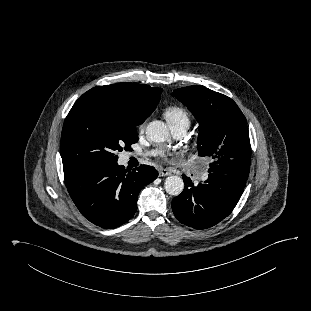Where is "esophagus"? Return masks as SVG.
I'll use <instances>...</instances> for the list:
<instances>
[{"instance_id":"obj_1","label":"esophagus","mask_w":311,"mask_h":311,"mask_svg":"<svg viewBox=\"0 0 311 311\" xmlns=\"http://www.w3.org/2000/svg\"><path fill=\"white\" fill-rule=\"evenodd\" d=\"M168 175H170V171L169 170H167V169H160L159 170V176L160 177L168 176Z\"/></svg>"}]
</instances>
